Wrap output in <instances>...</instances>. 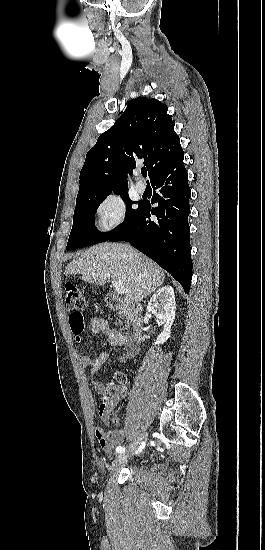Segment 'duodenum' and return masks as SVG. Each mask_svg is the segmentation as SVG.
<instances>
[{
	"instance_id": "410a0bca",
	"label": "duodenum",
	"mask_w": 265,
	"mask_h": 550,
	"mask_svg": "<svg viewBox=\"0 0 265 550\" xmlns=\"http://www.w3.org/2000/svg\"><path fill=\"white\" fill-rule=\"evenodd\" d=\"M105 300L110 310L126 312L132 329L133 345L137 347L143 339L145 326L142 317V306L134 301H127L110 293L106 295Z\"/></svg>"
}]
</instances>
